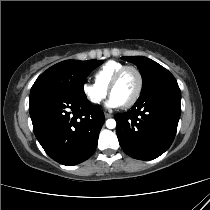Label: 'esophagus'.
Returning a JSON list of instances; mask_svg holds the SVG:
<instances>
[{"label":"esophagus","instance_id":"obj_1","mask_svg":"<svg viewBox=\"0 0 210 210\" xmlns=\"http://www.w3.org/2000/svg\"><path fill=\"white\" fill-rule=\"evenodd\" d=\"M104 115H105V118H111L112 117V115L110 113H105Z\"/></svg>","mask_w":210,"mask_h":210}]
</instances>
